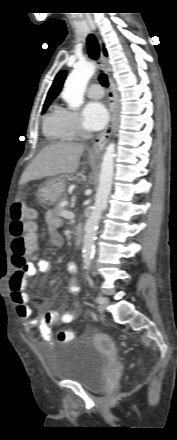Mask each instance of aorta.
Segmentation results:
<instances>
[{"label":"aorta","instance_id":"762f6f07","mask_svg":"<svg viewBox=\"0 0 177 440\" xmlns=\"http://www.w3.org/2000/svg\"><path fill=\"white\" fill-rule=\"evenodd\" d=\"M95 64L80 62L67 77L62 93L70 109H76L83 103V96L88 81L95 73ZM115 144L110 143L103 155L99 186L96 193L93 210L84 226L83 263L86 269L90 268L94 255V242L99 220L107 208L108 197L112 188L114 170Z\"/></svg>","mask_w":177,"mask_h":440}]
</instances>
